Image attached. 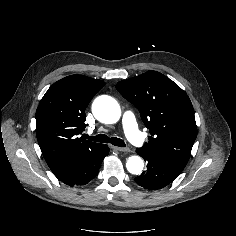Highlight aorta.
Listing matches in <instances>:
<instances>
[{"label":"aorta","instance_id":"aorta-1","mask_svg":"<svg viewBox=\"0 0 236 236\" xmlns=\"http://www.w3.org/2000/svg\"><path fill=\"white\" fill-rule=\"evenodd\" d=\"M94 116L103 123H116L121 116V109L118 102L110 96H99L92 105ZM127 170L132 174H140L144 162L139 156H131L126 163Z\"/></svg>","mask_w":236,"mask_h":236}]
</instances>
